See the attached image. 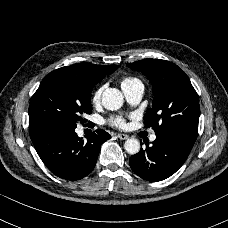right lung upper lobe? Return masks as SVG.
Masks as SVG:
<instances>
[{
    "label": "right lung upper lobe",
    "instance_id": "1",
    "mask_svg": "<svg viewBox=\"0 0 228 228\" xmlns=\"http://www.w3.org/2000/svg\"><path fill=\"white\" fill-rule=\"evenodd\" d=\"M118 68L117 65H94L89 63H77L60 69L78 71L85 74L92 80L99 81L106 75L111 74Z\"/></svg>",
    "mask_w": 228,
    "mask_h": 228
}]
</instances>
